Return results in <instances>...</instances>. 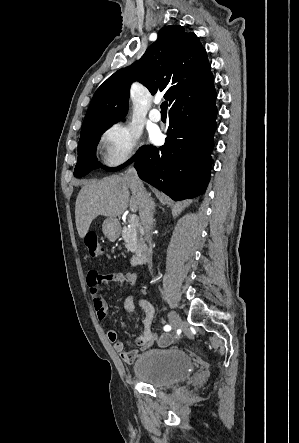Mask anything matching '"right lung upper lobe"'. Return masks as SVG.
Segmentation results:
<instances>
[{
  "instance_id": "cb5924a9",
  "label": "right lung upper lobe",
  "mask_w": 299,
  "mask_h": 443,
  "mask_svg": "<svg viewBox=\"0 0 299 443\" xmlns=\"http://www.w3.org/2000/svg\"><path fill=\"white\" fill-rule=\"evenodd\" d=\"M210 69L206 50L193 32H185L179 25L164 27L139 61L115 72L96 90L81 136L126 116L134 80L146 86L151 94L166 90L164 97L171 105L203 81Z\"/></svg>"
}]
</instances>
